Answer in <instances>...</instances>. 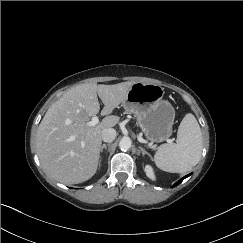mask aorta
Listing matches in <instances>:
<instances>
[{"mask_svg":"<svg viewBox=\"0 0 243 243\" xmlns=\"http://www.w3.org/2000/svg\"><path fill=\"white\" fill-rule=\"evenodd\" d=\"M132 146V141L130 138L128 137H124L120 140L119 142V148L122 150V151H127L131 148Z\"/></svg>","mask_w":243,"mask_h":243,"instance_id":"obj_1","label":"aorta"}]
</instances>
